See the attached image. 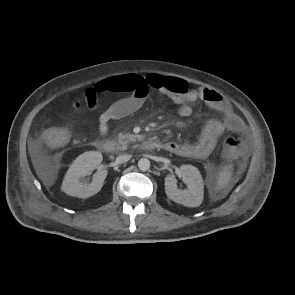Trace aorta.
I'll list each match as a JSON object with an SVG mask.
<instances>
[{"mask_svg": "<svg viewBox=\"0 0 295 295\" xmlns=\"http://www.w3.org/2000/svg\"><path fill=\"white\" fill-rule=\"evenodd\" d=\"M138 167L141 171H147L150 168V161L147 158H141L138 161Z\"/></svg>", "mask_w": 295, "mask_h": 295, "instance_id": "aorta-1", "label": "aorta"}]
</instances>
